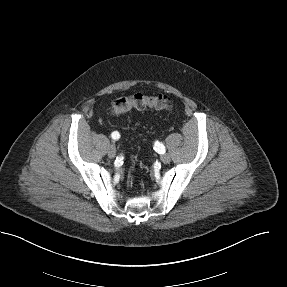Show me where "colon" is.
<instances>
[{
  "mask_svg": "<svg viewBox=\"0 0 287 287\" xmlns=\"http://www.w3.org/2000/svg\"><path fill=\"white\" fill-rule=\"evenodd\" d=\"M172 107V100L166 95L148 96L137 93L130 96L119 97L111 104V112L115 116L122 115L131 109H163L169 110Z\"/></svg>",
  "mask_w": 287,
  "mask_h": 287,
  "instance_id": "colon-1",
  "label": "colon"
}]
</instances>
